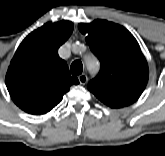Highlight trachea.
I'll list each match as a JSON object with an SVG mask.
<instances>
[{
	"label": "trachea",
	"instance_id": "1",
	"mask_svg": "<svg viewBox=\"0 0 165 156\" xmlns=\"http://www.w3.org/2000/svg\"><path fill=\"white\" fill-rule=\"evenodd\" d=\"M70 70H71V74H73V75L82 74V71H83L82 62L79 60L72 62L71 66H70Z\"/></svg>",
	"mask_w": 165,
	"mask_h": 156
}]
</instances>
